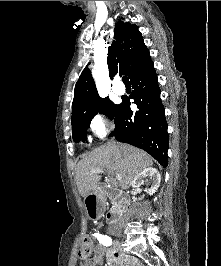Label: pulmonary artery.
<instances>
[{
  "label": "pulmonary artery",
  "instance_id": "pulmonary-artery-1",
  "mask_svg": "<svg viewBox=\"0 0 221 266\" xmlns=\"http://www.w3.org/2000/svg\"><path fill=\"white\" fill-rule=\"evenodd\" d=\"M113 91L117 95H122L125 93V88L123 86H119L118 84L113 86Z\"/></svg>",
  "mask_w": 221,
  "mask_h": 266
}]
</instances>
